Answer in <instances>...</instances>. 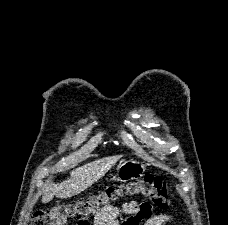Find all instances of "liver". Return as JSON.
<instances>
[{"mask_svg":"<svg viewBox=\"0 0 228 225\" xmlns=\"http://www.w3.org/2000/svg\"><path fill=\"white\" fill-rule=\"evenodd\" d=\"M122 157L123 155L104 157V159H97V161L87 163V165H83V167L73 169L68 181H63L60 185L51 183V185L45 187L42 203H50L54 197H58V199H69V197L83 193V191H86L93 183H96L101 177H104L105 173H108Z\"/></svg>","mask_w":228,"mask_h":225,"instance_id":"obj_1","label":"liver"}]
</instances>
